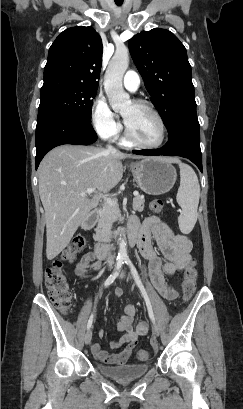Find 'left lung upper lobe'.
Returning <instances> with one entry per match:
<instances>
[{
    "instance_id": "obj_1",
    "label": "left lung upper lobe",
    "mask_w": 243,
    "mask_h": 409,
    "mask_svg": "<svg viewBox=\"0 0 243 409\" xmlns=\"http://www.w3.org/2000/svg\"><path fill=\"white\" fill-rule=\"evenodd\" d=\"M130 54L167 130L196 109L191 66L184 45L169 30L142 31L129 40Z\"/></svg>"
}]
</instances>
